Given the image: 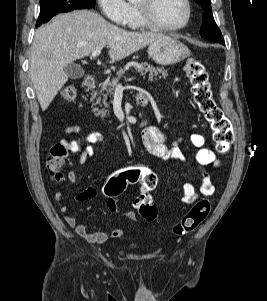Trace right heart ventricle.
I'll list each match as a JSON object with an SVG mask.
<instances>
[{
  "label": "right heart ventricle",
  "mask_w": 267,
  "mask_h": 301,
  "mask_svg": "<svg viewBox=\"0 0 267 301\" xmlns=\"http://www.w3.org/2000/svg\"><path fill=\"white\" fill-rule=\"evenodd\" d=\"M132 7V15H131V19L129 22V27L132 29H144L146 28V26L141 22L137 9L135 8V6H131Z\"/></svg>",
  "instance_id": "1"
}]
</instances>
